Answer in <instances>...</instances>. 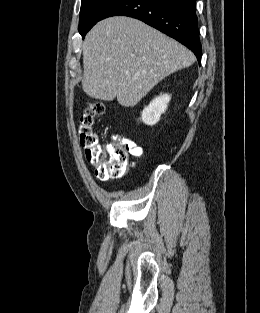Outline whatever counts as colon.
I'll return each instance as SVG.
<instances>
[{
  "instance_id": "1",
  "label": "colon",
  "mask_w": 260,
  "mask_h": 313,
  "mask_svg": "<svg viewBox=\"0 0 260 313\" xmlns=\"http://www.w3.org/2000/svg\"><path fill=\"white\" fill-rule=\"evenodd\" d=\"M106 105L101 101L90 102L80 117L78 137L85 159L90 163L101 180L123 175L129 163L133 143L123 136H114L106 143H100L93 130L94 118L105 112Z\"/></svg>"
}]
</instances>
